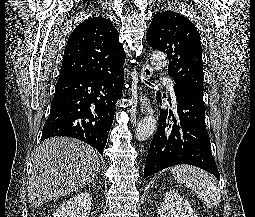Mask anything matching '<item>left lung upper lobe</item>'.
I'll return each mask as SVG.
<instances>
[{
    "label": "left lung upper lobe",
    "instance_id": "obj_1",
    "mask_svg": "<svg viewBox=\"0 0 255 217\" xmlns=\"http://www.w3.org/2000/svg\"><path fill=\"white\" fill-rule=\"evenodd\" d=\"M146 38L149 46L167 54L175 83L203 93L201 38L189 19L173 11L156 13Z\"/></svg>",
    "mask_w": 255,
    "mask_h": 217
}]
</instances>
